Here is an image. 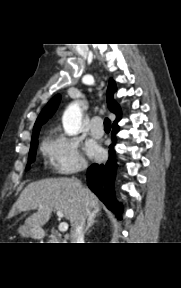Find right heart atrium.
<instances>
[{
	"label": "right heart atrium",
	"instance_id": "d8ad5b80",
	"mask_svg": "<svg viewBox=\"0 0 181 288\" xmlns=\"http://www.w3.org/2000/svg\"><path fill=\"white\" fill-rule=\"evenodd\" d=\"M43 152L52 170L58 174H72L86 167L78 141L64 133L56 132L49 137Z\"/></svg>",
	"mask_w": 181,
	"mask_h": 288
}]
</instances>
